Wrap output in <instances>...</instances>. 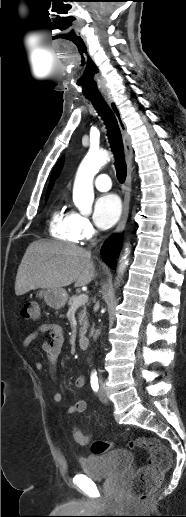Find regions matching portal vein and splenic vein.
<instances>
[{
	"label": "portal vein and splenic vein",
	"mask_w": 186,
	"mask_h": 517,
	"mask_svg": "<svg viewBox=\"0 0 186 517\" xmlns=\"http://www.w3.org/2000/svg\"><path fill=\"white\" fill-rule=\"evenodd\" d=\"M88 301V296L86 294H81L78 296V298L74 301L72 307H78L82 304H85Z\"/></svg>",
	"instance_id": "18ae733b"
}]
</instances>
